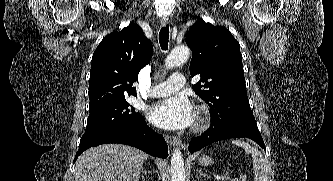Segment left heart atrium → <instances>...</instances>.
<instances>
[{"instance_id": "1", "label": "left heart atrium", "mask_w": 333, "mask_h": 181, "mask_svg": "<svg viewBox=\"0 0 333 181\" xmlns=\"http://www.w3.org/2000/svg\"><path fill=\"white\" fill-rule=\"evenodd\" d=\"M148 117L158 127L177 130L192 125L195 112L185 96H174L154 104Z\"/></svg>"}]
</instances>
